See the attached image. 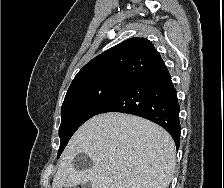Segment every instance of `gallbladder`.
I'll return each mask as SVG.
<instances>
[{"instance_id": "bac80fb5", "label": "gallbladder", "mask_w": 224, "mask_h": 188, "mask_svg": "<svg viewBox=\"0 0 224 188\" xmlns=\"http://www.w3.org/2000/svg\"><path fill=\"white\" fill-rule=\"evenodd\" d=\"M81 188H92L90 182H84V184L81 185Z\"/></svg>"}]
</instances>
